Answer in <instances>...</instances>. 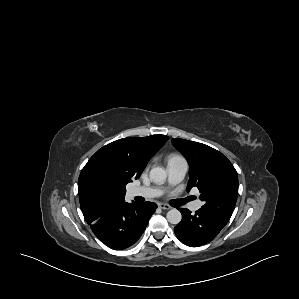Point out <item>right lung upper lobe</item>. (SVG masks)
Returning a JSON list of instances; mask_svg holds the SVG:
<instances>
[{
  "label": "right lung upper lobe",
  "mask_w": 299,
  "mask_h": 299,
  "mask_svg": "<svg viewBox=\"0 0 299 299\" xmlns=\"http://www.w3.org/2000/svg\"><path fill=\"white\" fill-rule=\"evenodd\" d=\"M165 135L129 137L116 140L99 149L81 171L78 193L81 208L88 204H115L123 201L125 186L138 179L150 158L168 140ZM106 168L118 180L110 189H98L91 185L90 172L93 168Z\"/></svg>",
  "instance_id": "1"
}]
</instances>
